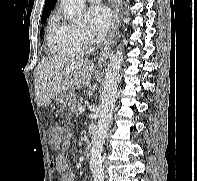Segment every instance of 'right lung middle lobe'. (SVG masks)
Returning a JSON list of instances; mask_svg holds the SVG:
<instances>
[{
    "instance_id": "1",
    "label": "right lung middle lobe",
    "mask_w": 197,
    "mask_h": 181,
    "mask_svg": "<svg viewBox=\"0 0 197 181\" xmlns=\"http://www.w3.org/2000/svg\"><path fill=\"white\" fill-rule=\"evenodd\" d=\"M47 17H49V14L43 15V16L41 17V23L44 24V23L46 22V20H47ZM43 31H44V29L41 30V34H43Z\"/></svg>"
}]
</instances>
